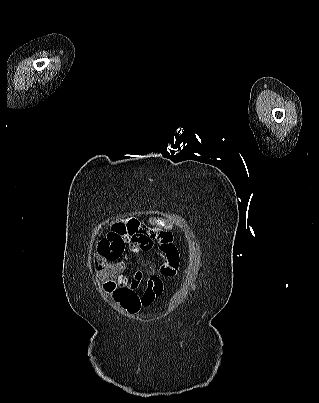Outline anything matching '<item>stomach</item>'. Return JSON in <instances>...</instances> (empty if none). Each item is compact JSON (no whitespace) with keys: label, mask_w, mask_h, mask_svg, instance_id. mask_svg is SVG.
Segmentation results:
<instances>
[{"label":"stomach","mask_w":319,"mask_h":403,"mask_svg":"<svg viewBox=\"0 0 319 403\" xmlns=\"http://www.w3.org/2000/svg\"><path fill=\"white\" fill-rule=\"evenodd\" d=\"M153 224L156 226V227H158L159 229H171L172 228V222H171V219L170 218H167V219H163V218H160V219H155V220H153Z\"/></svg>","instance_id":"1"}]
</instances>
